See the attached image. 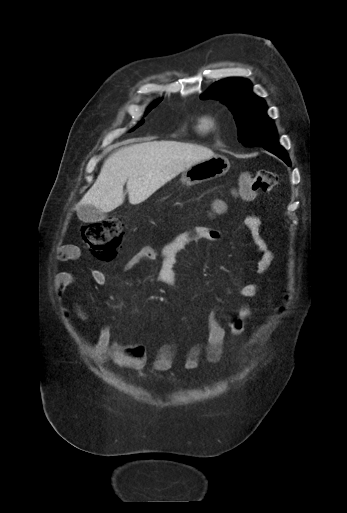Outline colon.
Segmentation results:
<instances>
[{"instance_id": "5ec220e1", "label": "colon", "mask_w": 347, "mask_h": 513, "mask_svg": "<svg viewBox=\"0 0 347 513\" xmlns=\"http://www.w3.org/2000/svg\"><path fill=\"white\" fill-rule=\"evenodd\" d=\"M276 182L277 175L273 171L244 172L239 178L236 192L243 200H252L257 193L271 190ZM225 211L226 205L222 200L213 202L211 207L213 215H221ZM82 236L98 258L110 260L114 258L123 242V223L116 217L89 223L82 227ZM73 255L76 256L77 252Z\"/></svg>"}]
</instances>
